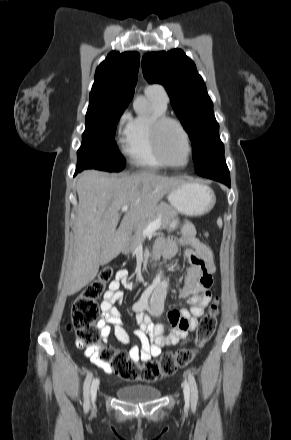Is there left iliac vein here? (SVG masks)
I'll use <instances>...</instances> for the list:
<instances>
[{
  "label": "left iliac vein",
  "instance_id": "left-iliac-vein-1",
  "mask_svg": "<svg viewBox=\"0 0 291 440\" xmlns=\"http://www.w3.org/2000/svg\"><path fill=\"white\" fill-rule=\"evenodd\" d=\"M183 393H184V399H185L186 403H188L189 399H190V387L187 382H184Z\"/></svg>",
  "mask_w": 291,
  "mask_h": 440
}]
</instances>
